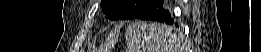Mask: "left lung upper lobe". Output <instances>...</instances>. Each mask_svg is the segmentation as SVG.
Returning a JSON list of instances; mask_svg holds the SVG:
<instances>
[{"instance_id": "5c2ea615", "label": "left lung upper lobe", "mask_w": 261, "mask_h": 52, "mask_svg": "<svg viewBox=\"0 0 261 52\" xmlns=\"http://www.w3.org/2000/svg\"><path fill=\"white\" fill-rule=\"evenodd\" d=\"M155 0H102L101 5L107 18L111 20L137 18Z\"/></svg>"}]
</instances>
